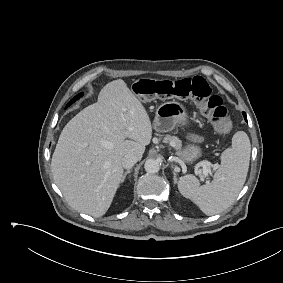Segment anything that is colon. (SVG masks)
Returning <instances> with one entry per match:
<instances>
[{
	"label": "colon",
	"mask_w": 283,
	"mask_h": 283,
	"mask_svg": "<svg viewBox=\"0 0 283 283\" xmlns=\"http://www.w3.org/2000/svg\"><path fill=\"white\" fill-rule=\"evenodd\" d=\"M133 92L143 102L171 97L192 99L209 118L217 133L227 134L231 130L230 111L223 105L221 97L214 94L210 84L200 76L178 81L140 79L133 85Z\"/></svg>",
	"instance_id": "1"
}]
</instances>
